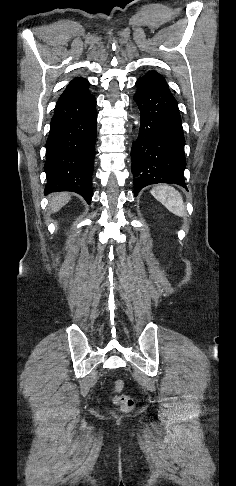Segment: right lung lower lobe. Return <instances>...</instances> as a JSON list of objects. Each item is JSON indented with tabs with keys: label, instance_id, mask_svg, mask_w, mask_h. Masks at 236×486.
Segmentation results:
<instances>
[{
	"label": "right lung lower lobe",
	"instance_id": "1",
	"mask_svg": "<svg viewBox=\"0 0 236 486\" xmlns=\"http://www.w3.org/2000/svg\"><path fill=\"white\" fill-rule=\"evenodd\" d=\"M96 100L85 97L57 103L46 141L44 193L72 191L91 201L96 141Z\"/></svg>",
	"mask_w": 236,
	"mask_h": 486
}]
</instances>
